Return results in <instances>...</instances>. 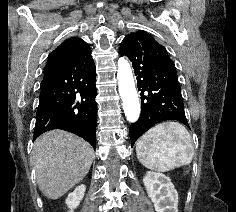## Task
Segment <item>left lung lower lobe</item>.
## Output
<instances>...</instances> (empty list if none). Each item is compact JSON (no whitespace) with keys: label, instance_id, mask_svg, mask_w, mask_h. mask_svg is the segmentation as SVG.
I'll return each mask as SVG.
<instances>
[{"label":"left lung lower lobe","instance_id":"left-lung-lower-lobe-1","mask_svg":"<svg viewBox=\"0 0 236 212\" xmlns=\"http://www.w3.org/2000/svg\"><path fill=\"white\" fill-rule=\"evenodd\" d=\"M119 53L132 61L141 92V114L129 129L131 145L162 121L177 120L189 127L176 67L166 49L150 34L139 30L122 40Z\"/></svg>","mask_w":236,"mask_h":212}]
</instances>
